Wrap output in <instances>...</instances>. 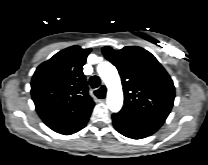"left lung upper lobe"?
I'll return each instance as SVG.
<instances>
[{"mask_svg": "<svg viewBox=\"0 0 208 165\" xmlns=\"http://www.w3.org/2000/svg\"><path fill=\"white\" fill-rule=\"evenodd\" d=\"M102 52L121 76L125 99L120 112L164 123L174 103L175 87L157 59L137 46L121 50L106 46Z\"/></svg>", "mask_w": 208, "mask_h": 165, "instance_id": "left-lung-upper-lobe-1", "label": "left lung upper lobe"}]
</instances>
